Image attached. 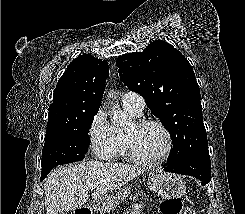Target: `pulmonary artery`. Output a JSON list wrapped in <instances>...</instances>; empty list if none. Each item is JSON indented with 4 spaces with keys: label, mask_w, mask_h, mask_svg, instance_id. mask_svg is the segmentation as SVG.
<instances>
[{
    "label": "pulmonary artery",
    "mask_w": 245,
    "mask_h": 214,
    "mask_svg": "<svg viewBox=\"0 0 245 214\" xmlns=\"http://www.w3.org/2000/svg\"><path fill=\"white\" fill-rule=\"evenodd\" d=\"M121 102L123 106L131 107L137 112L142 113L145 107L144 98L135 92H127L122 96Z\"/></svg>",
    "instance_id": "e3ab8cb5"
}]
</instances>
